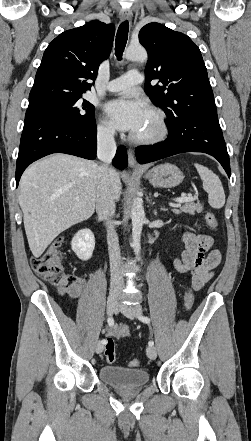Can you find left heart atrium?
Returning a JSON list of instances; mask_svg holds the SVG:
<instances>
[{
	"label": "left heart atrium",
	"mask_w": 251,
	"mask_h": 441,
	"mask_svg": "<svg viewBox=\"0 0 251 441\" xmlns=\"http://www.w3.org/2000/svg\"><path fill=\"white\" fill-rule=\"evenodd\" d=\"M147 111L144 102L137 98H119L105 105L111 123L121 131L135 133Z\"/></svg>",
	"instance_id": "left-heart-atrium-1"
}]
</instances>
